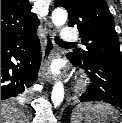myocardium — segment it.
<instances>
[{
    "label": "myocardium",
    "instance_id": "myocardium-1",
    "mask_svg": "<svg viewBox=\"0 0 122 123\" xmlns=\"http://www.w3.org/2000/svg\"><path fill=\"white\" fill-rule=\"evenodd\" d=\"M86 84H87V81L85 79H80L78 86H79V88H84L86 86Z\"/></svg>",
    "mask_w": 122,
    "mask_h": 123
}]
</instances>
